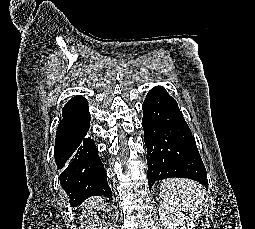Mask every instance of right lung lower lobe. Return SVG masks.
<instances>
[{
	"label": "right lung lower lobe",
	"instance_id": "98d812e1",
	"mask_svg": "<svg viewBox=\"0 0 255 229\" xmlns=\"http://www.w3.org/2000/svg\"><path fill=\"white\" fill-rule=\"evenodd\" d=\"M90 113L82 96H75L63 107L55 141L54 158L60 184L69 194L72 206L96 195L112 196L98 149L90 137Z\"/></svg>",
	"mask_w": 255,
	"mask_h": 229
}]
</instances>
